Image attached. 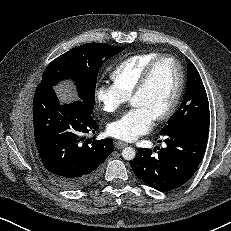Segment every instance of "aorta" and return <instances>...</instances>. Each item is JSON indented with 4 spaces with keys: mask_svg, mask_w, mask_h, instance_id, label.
<instances>
[{
    "mask_svg": "<svg viewBox=\"0 0 231 231\" xmlns=\"http://www.w3.org/2000/svg\"><path fill=\"white\" fill-rule=\"evenodd\" d=\"M136 156V152L133 148L131 147H125L123 150H122V157L125 159V160H133Z\"/></svg>",
    "mask_w": 231,
    "mask_h": 231,
    "instance_id": "762f6f07",
    "label": "aorta"
}]
</instances>
